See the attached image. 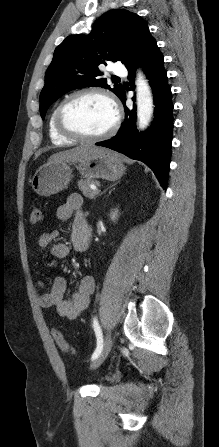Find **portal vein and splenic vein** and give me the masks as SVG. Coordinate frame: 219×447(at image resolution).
I'll use <instances>...</instances> for the list:
<instances>
[{"mask_svg": "<svg viewBox=\"0 0 219 447\" xmlns=\"http://www.w3.org/2000/svg\"><path fill=\"white\" fill-rule=\"evenodd\" d=\"M90 188H91L95 193H98V192H99V190L97 189V187L94 186V185H90Z\"/></svg>", "mask_w": 219, "mask_h": 447, "instance_id": "obj_1", "label": "portal vein and splenic vein"}]
</instances>
